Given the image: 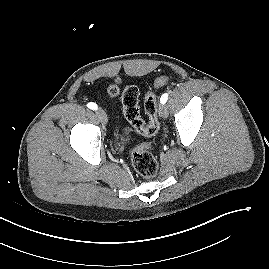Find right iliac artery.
Wrapping results in <instances>:
<instances>
[{
  "label": "right iliac artery",
  "mask_w": 269,
  "mask_h": 269,
  "mask_svg": "<svg viewBox=\"0 0 269 269\" xmlns=\"http://www.w3.org/2000/svg\"><path fill=\"white\" fill-rule=\"evenodd\" d=\"M87 106H88V108H90L92 110H96L98 108L97 105L95 103H92V102L88 103Z\"/></svg>",
  "instance_id": "1"
}]
</instances>
